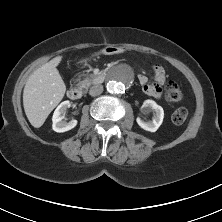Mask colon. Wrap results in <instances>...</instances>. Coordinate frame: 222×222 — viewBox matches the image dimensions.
<instances>
[{
    "instance_id": "1",
    "label": "colon",
    "mask_w": 222,
    "mask_h": 222,
    "mask_svg": "<svg viewBox=\"0 0 222 222\" xmlns=\"http://www.w3.org/2000/svg\"><path fill=\"white\" fill-rule=\"evenodd\" d=\"M183 97L182 94V90L180 88V86L174 82V81H170L169 83H167V85L165 86V99L168 102L171 103H175V102H179ZM188 116V111L186 108L184 107H180L177 108L173 114H172V122L174 124H182Z\"/></svg>"
}]
</instances>
